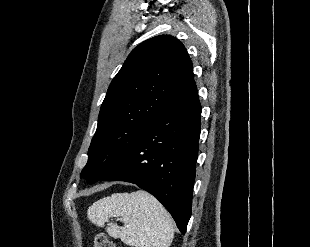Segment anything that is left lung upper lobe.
I'll return each mask as SVG.
<instances>
[{"instance_id":"5c2ea615","label":"left lung upper lobe","mask_w":310,"mask_h":247,"mask_svg":"<svg viewBox=\"0 0 310 247\" xmlns=\"http://www.w3.org/2000/svg\"><path fill=\"white\" fill-rule=\"evenodd\" d=\"M195 85L183 44L160 35L139 44L112 80L81 172L95 183L119 164L147 128Z\"/></svg>"}]
</instances>
